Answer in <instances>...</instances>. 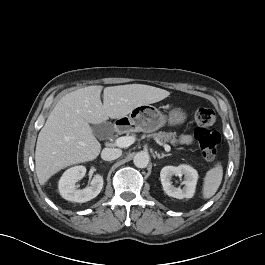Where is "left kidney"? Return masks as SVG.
Here are the masks:
<instances>
[{"label": "left kidney", "instance_id": "left-kidney-1", "mask_svg": "<svg viewBox=\"0 0 265 265\" xmlns=\"http://www.w3.org/2000/svg\"><path fill=\"white\" fill-rule=\"evenodd\" d=\"M174 175L179 177L184 175L185 180L182 182V184H184L183 188L172 185L171 180ZM160 179L163 190L168 196L177 199L192 198L196 189L198 173L193 167L185 164H181L177 167L165 166L160 172Z\"/></svg>", "mask_w": 265, "mask_h": 265}]
</instances>
